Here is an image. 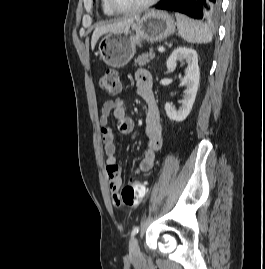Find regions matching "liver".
Returning <instances> with one entry per match:
<instances>
[{
    "instance_id": "liver-1",
    "label": "liver",
    "mask_w": 265,
    "mask_h": 269,
    "mask_svg": "<svg viewBox=\"0 0 265 269\" xmlns=\"http://www.w3.org/2000/svg\"><path fill=\"white\" fill-rule=\"evenodd\" d=\"M135 19H137V17H132V18H128V19H124L121 21H116V22H113L110 24L101 25V26L96 27L93 34H92V38H91V49L94 50L98 39L103 34H106L108 32L120 31L122 28H124L129 23L133 22Z\"/></svg>"
}]
</instances>
